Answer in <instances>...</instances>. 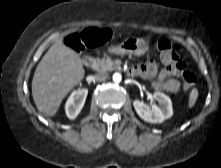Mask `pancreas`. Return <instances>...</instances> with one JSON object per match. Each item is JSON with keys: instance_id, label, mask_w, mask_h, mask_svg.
I'll list each match as a JSON object with an SVG mask.
<instances>
[{"instance_id": "pancreas-1", "label": "pancreas", "mask_w": 221, "mask_h": 168, "mask_svg": "<svg viewBox=\"0 0 221 168\" xmlns=\"http://www.w3.org/2000/svg\"><path fill=\"white\" fill-rule=\"evenodd\" d=\"M118 68L119 67L109 57L103 59L97 58L94 67V69L97 71H112Z\"/></svg>"}]
</instances>
